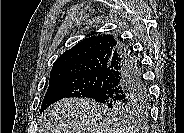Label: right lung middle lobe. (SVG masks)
I'll use <instances>...</instances> for the list:
<instances>
[{"label":"right lung middle lobe","instance_id":"1","mask_svg":"<svg viewBox=\"0 0 184 133\" xmlns=\"http://www.w3.org/2000/svg\"><path fill=\"white\" fill-rule=\"evenodd\" d=\"M103 73L79 77H67L49 82L40 113L52 103L67 97L94 98L102 86ZM112 115L138 118L148 109V95L138 103L130 105L101 104Z\"/></svg>","mask_w":184,"mask_h":133}]
</instances>
